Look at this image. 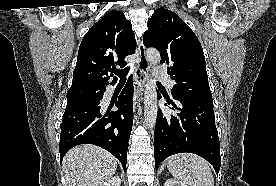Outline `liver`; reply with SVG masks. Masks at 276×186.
Instances as JSON below:
<instances>
[{
    "label": "liver",
    "mask_w": 276,
    "mask_h": 186,
    "mask_svg": "<svg viewBox=\"0 0 276 186\" xmlns=\"http://www.w3.org/2000/svg\"><path fill=\"white\" fill-rule=\"evenodd\" d=\"M62 168L67 186H102L116 172L117 159L95 145H80L64 156Z\"/></svg>",
    "instance_id": "liver-1"
}]
</instances>
